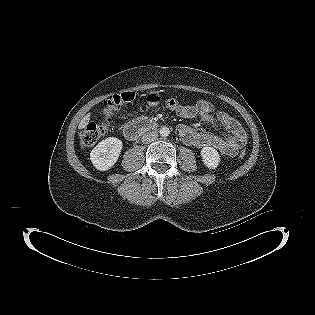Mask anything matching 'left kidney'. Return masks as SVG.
I'll list each match as a JSON object with an SVG mask.
<instances>
[{
	"instance_id": "left-kidney-1",
	"label": "left kidney",
	"mask_w": 315,
	"mask_h": 315,
	"mask_svg": "<svg viewBox=\"0 0 315 315\" xmlns=\"http://www.w3.org/2000/svg\"><path fill=\"white\" fill-rule=\"evenodd\" d=\"M203 163L209 169H216L220 163V155L213 147H204L201 149Z\"/></svg>"
}]
</instances>
